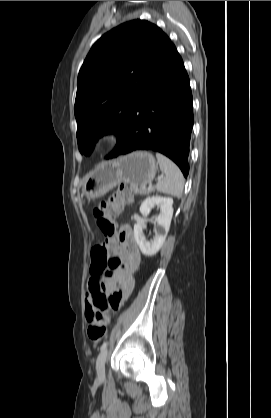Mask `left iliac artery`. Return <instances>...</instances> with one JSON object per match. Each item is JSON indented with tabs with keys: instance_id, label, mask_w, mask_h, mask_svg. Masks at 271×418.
<instances>
[{
	"instance_id": "1",
	"label": "left iliac artery",
	"mask_w": 271,
	"mask_h": 418,
	"mask_svg": "<svg viewBox=\"0 0 271 418\" xmlns=\"http://www.w3.org/2000/svg\"><path fill=\"white\" fill-rule=\"evenodd\" d=\"M107 345H108V342H107V341H106V342H104V343L102 344V346H101V350L106 349Z\"/></svg>"
}]
</instances>
